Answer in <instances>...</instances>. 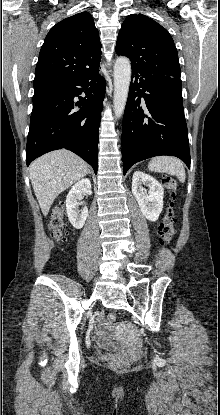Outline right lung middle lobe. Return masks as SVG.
Segmentation results:
<instances>
[{
    "label": "right lung middle lobe",
    "instance_id": "dd1d6c3e",
    "mask_svg": "<svg viewBox=\"0 0 220 415\" xmlns=\"http://www.w3.org/2000/svg\"><path fill=\"white\" fill-rule=\"evenodd\" d=\"M62 84L60 83H45L34 85L33 102L49 95L55 94L59 91Z\"/></svg>",
    "mask_w": 220,
    "mask_h": 415
}]
</instances>
